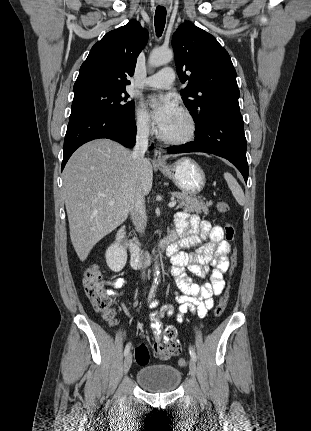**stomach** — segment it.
Returning a JSON list of instances; mask_svg holds the SVG:
<instances>
[{
    "label": "stomach",
    "instance_id": "1",
    "mask_svg": "<svg viewBox=\"0 0 311 431\" xmlns=\"http://www.w3.org/2000/svg\"><path fill=\"white\" fill-rule=\"evenodd\" d=\"M158 170L163 176L169 178L182 194H188V196H197L206 184L202 168L191 158H180L172 166H165V168L158 166Z\"/></svg>",
    "mask_w": 311,
    "mask_h": 431
}]
</instances>
